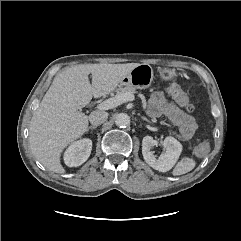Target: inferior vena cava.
I'll list each match as a JSON object with an SVG mask.
<instances>
[{
    "mask_svg": "<svg viewBox=\"0 0 241 241\" xmlns=\"http://www.w3.org/2000/svg\"><path fill=\"white\" fill-rule=\"evenodd\" d=\"M107 118H108V113L105 111H101V110L93 111L89 115V121L94 126H98V125L104 123Z\"/></svg>",
    "mask_w": 241,
    "mask_h": 241,
    "instance_id": "inferior-vena-cava-1",
    "label": "inferior vena cava"
}]
</instances>
